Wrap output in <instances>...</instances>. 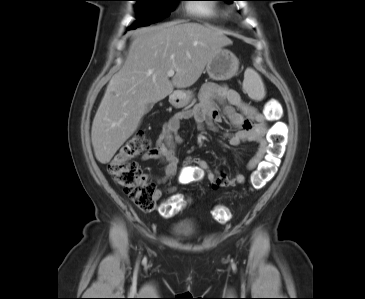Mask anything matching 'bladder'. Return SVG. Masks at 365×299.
<instances>
[{"label":"bladder","instance_id":"bladder-1","mask_svg":"<svg viewBox=\"0 0 365 299\" xmlns=\"http://www.w3.org/2000/svg\"><path fill=\"white\" fill-rule=\"evenodd\" d=\"M198 230V224L193 220H182L171 227V232L175 237L188 238Z\"/></svg>","mask_w":365,"mask_h":299}]
</instances>
